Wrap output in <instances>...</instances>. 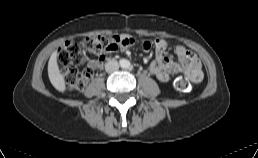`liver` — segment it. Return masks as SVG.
Returning <instances> with one entry per match:
<instances>
[{"label":"liver","mask_w":258,"mask_h":158,"mask_svg":"<svg viewBox=\"0 0 258 158\" xmlns=\"http://www.w3.org/2000/svg\"><path fill=\"white\" fill-rule=\"evenodd\" d=\"M57 56H58V53L56 51H54L50 56V59L48 62V76L54 88L60 92H63L65 91V88H66L65 80L59 70V66L57 63Z\"/></svg>","instance_id":"obj_1"}]
</instances>
